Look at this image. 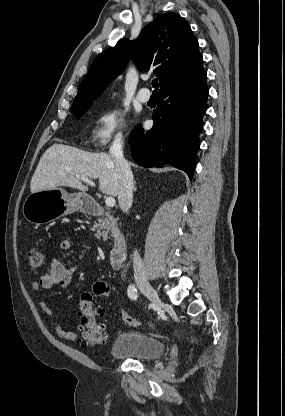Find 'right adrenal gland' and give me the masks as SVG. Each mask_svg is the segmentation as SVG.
<instances>
[{"label":"right adrenal gland","instance_id":"2a0ac1e0","mask_svg":"<svg viewBox=\"0 0 285 416\" xmlns=\"http://www.w3.org/2000/svg\"><path fill=\"white\" fill-rule=\"evenodd\" d=\"M137 188H136V182H134V192H136Z\"/></svg>","mask_w":285,"mask_h":416}]
</instances>
